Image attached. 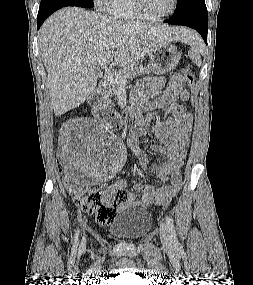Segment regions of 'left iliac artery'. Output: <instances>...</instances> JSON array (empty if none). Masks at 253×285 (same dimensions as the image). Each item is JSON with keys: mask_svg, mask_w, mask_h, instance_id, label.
<instances>
[{"mask_svg": "<svg viewBox=\"0 0 253 285\" xmlns=\"http://www.w3.org/2000/svg\"><path fill=\"white\" fill-rule=\"evenodd\" d=\"M166 224L170 233L171 241L173 242L174 246H177V235L174 227L173 220L170 216H166Z\"/></svg>", "mask_w": 253, "mask_h": 285, "instance_id": "left-iliac-artery-1", "label": "left iliac artery"}]
</instances>
